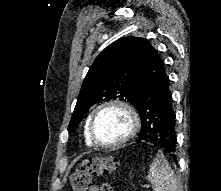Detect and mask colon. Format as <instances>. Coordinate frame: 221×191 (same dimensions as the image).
I'll return each instance as SVG.
<instances>
[{
    "mask_svg": "<svg viewBox=\"0 0 221 191\" xmlns=\"http://www.w3.org/2000/svg\"><path fill=\"white\" fill-rule=\"evenodd\" d=\"M118 160L112 156L93 157L82 161L71 177L72 191H88L92 178L111 174L116 170ZM101 191H113L109 183H103Z\"/></svg>",
    "mask_w": 221,
    "mask_h": 191,
    "instance_id": "1",
    "label": "colon"
}]
</instances>
